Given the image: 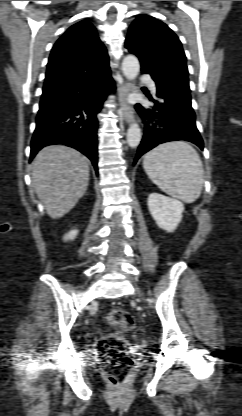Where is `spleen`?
I'll use <instances>...</instances> for the list:
<instances>
[{"label": "spleen", "mask_w": 242, "mask_h": 416, "mask_svg": "<svg viewBox=\"0 0 242 416\" xmlns=\"http://www.w3.org/2000/svg\"><path fill=\"white\" fill-rule=\"evenodd\" d=\"M143 168L154 184L174 198L192 203L201 194L203 164L187 142L160 144L144 156Z\"/></svg>", "instance_id": "obj_1"}]
</instances>
